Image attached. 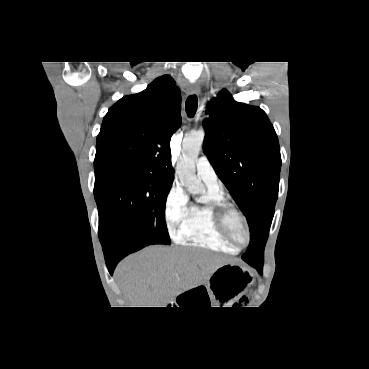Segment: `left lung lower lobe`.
<instances>
[{
	"label": "left lung lower lobe",
	"mask_w": 369,
	"mask_h": 369,
	"mask_svg": "<svg viewBox=\"0 0 369 369\" xmlns=\"http://www.w3.org/2000/svg\"><path fill=\"white\" fill-rule=\"evenodd\" d=\"M249 265H251L252 267H254L255 269H257V271L262 274V269H263V263H254V262H250L248 263Z\"/></svg>",
	"instance_id": "1"
}]
</instances>
